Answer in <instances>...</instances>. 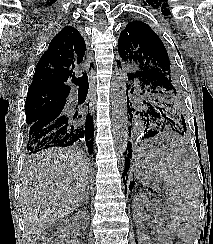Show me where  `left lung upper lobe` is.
<instances>
[{
  "mask_svg": "<svg viewBox=\"0 0 213 244\" xmlns=\"http://www.w3.org/2000/svg\"><path fill=\"white\" fill-rule=\"evenodd\" d=\"M118 52L117 64L137 88L139 101L145 104L143 112L162 124L165 132L185 137L186 109L177 69L158 35L148 24L132 21L120 33Z\"/></svg>",
  "mask_w": 213,
  "mask_h": 244,
  "instance_id": "obj_1",
  "label": "left lung upper lobe"
}]
</instances>
